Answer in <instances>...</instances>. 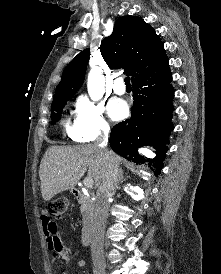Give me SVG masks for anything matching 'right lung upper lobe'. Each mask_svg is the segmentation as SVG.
<instances>
[{
	"label": "right lung upper lobe",
	"mask_w": 221,
	"mask_h": 274,
	"mask_svg": "<svg viewBox=\"0 0 221 274\" xmlns=\"http://www.w3.org/2000/svg\"><path fill=\"white\" fill-rule=\"evenodd\" d=\"M100 52L110 68H124L131 80L146 75L166 59L163 43L155 30L136 16H124L114 24L113 33L101 42ZM89 48L80 52L62 74L54 98L74 95L84 81Z\"/></svg>",
	"instance_id": "cb5924a9"
}]
</instances>
